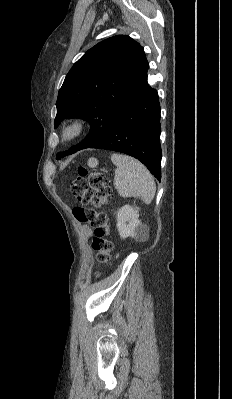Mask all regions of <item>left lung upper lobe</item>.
<instances>
[{
  "label": "left lung upper lobe",
  "mask_w": 232,
  "mask_h": 399,
  "mask_svg": "<svg viewBox=\"0 0 232 399\" xmlns=\"http://www.w3.org/2000/svg\"><path fill=\"white\" fill-rule=\"evenodd\" d=\"M148 62L143 47L126 35L108 38L89 49L70 69L56 102L55 128L65 118H82L86 138L59 158L90 148L103 138L135 95Z\"/></svg>",
  "instance_id": "left-lung-upper-lobe-1"
}]
</instances>
